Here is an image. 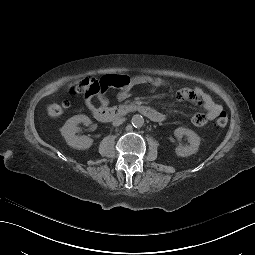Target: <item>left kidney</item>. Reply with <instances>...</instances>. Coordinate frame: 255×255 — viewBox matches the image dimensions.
<instances>
[{
    "mask_svg": "<svg viewBox=\"0 0 255 255\" xmlns=\"http://www.w3.org/2000/svg\"><path fill=\"white\" fill-rule=\"evenodd\" d=\"M175 137L180 140L183 135H186L188 137V141L190 145L183 146L179 145L176 148V154L178 156L186 157L190 156L198 151L199 145H200V137L192 130L179 127L175 129L174 131Z\"/></svg>",
    "mask_w": 255,
    "mask_h": 255,
    "instance_id": "left-kidney-1",
    "label": "left kidney"
}]
</instances>
